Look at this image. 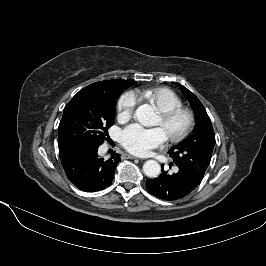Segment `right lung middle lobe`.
<instances>
[{
    "label": "right lung middle lobe",
    "mask_w": 266,
    "mask_h": 266,
    "mask_svg": "<svg viewBox=\"0 0 266 266\" xmlns=\"http://www.w3.org/2000/svg\"><path fill=\"white\" fill-rule=\"evenodd\" d=\"M134 82L118 81L107 90L85 87L65 106L58 128L59 147L101 145L115 122L119 95Z\"/></svg>",
    "instance_id": "dd1d6c3e"
}]
</instances>
